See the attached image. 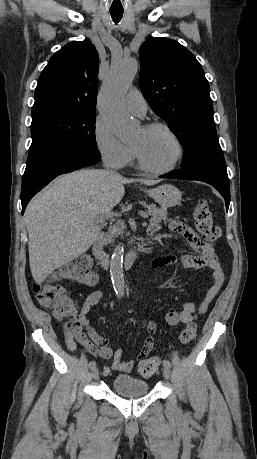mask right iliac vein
Here are the masks:
<instances>
[{
    "instance_id": "obj_1",
    "label": "right iliac vein",
    "mask_w": 257,
    "mask_h": 459,
    "mask_svg": "<svg viewBox=\"0 0 257 459\" xmlns=\"http://www.w3.org/2000/svg\"><path fill=\"white\" fill-rule=\"evenodd\" d=\"M92 377H93V379H95V380H97V379L99 378V371H98L97 368H94V369L92 370Z\"/></svg>"
}]
</instances>
